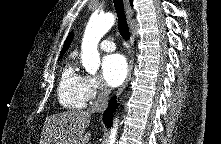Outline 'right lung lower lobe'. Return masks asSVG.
I'll return each instance as SVG.
<instances>
[{"label": "right lung lower lobe", "mask_w": 221, "mask_h": 144, "mask_svg": "<svg viewBox=\"0 0 221 144\" xmlns=\"http://www.w3.org/2000/svg\"><path fill=\"white\" fill-rule=\"evenodd\" d=\"M118 107L116 97H113L109 101L108 108L105 110L103 114V121L107 125V127L110 128L112 119H113V113L115 112L116 108Z\"/></svg>", "instance_id": "obj_1"}]
</instances>
